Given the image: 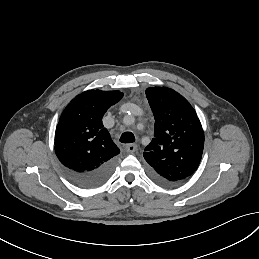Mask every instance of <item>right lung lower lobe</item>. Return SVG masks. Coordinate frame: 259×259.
<instances>
[{
	"mask_svg": "<svg viewBox=\"0 0 259 259\" xmlns=\"http://www.w3.org/2000/svg\"><path fill=\"white\" fill-rule=\"evenodd\" d=\"M116 158L105 162L91 171H74L64 168V173L74 184L83 188H92L106 182L114 171Z\"/></svg>",
	"mask_w": 259,
	"mask_h": 259,
	"instance_id": "1",
	"label": "right lung lower lobe"
}]
</instances>
